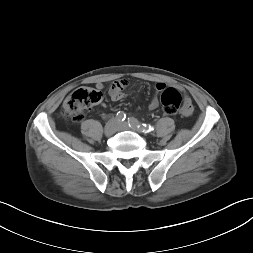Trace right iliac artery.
<instances>
[{"mask_svg": "<svg viewBox=\"0 0 253 253\" xmlns=\"http://www.w3.org/2000/svg\"><path fill=\"white\" fill-rule=\"evenodd\" d=\"M116 118L119 120V121H124L126 119V114L123 112V111H119L117 114H116Z\"/></svg>", "mask_w": 253, "mask_h": 253, "instance_id": "82829eb1", "label": "right iliac artery"}]
</instances>
